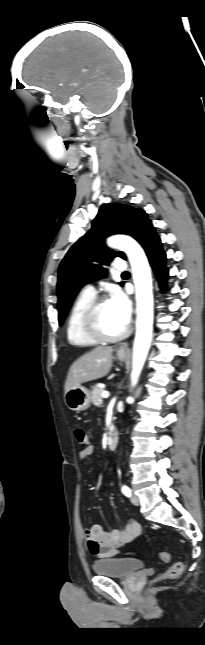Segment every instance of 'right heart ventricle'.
I'll list each match as a JSON object with an SVG mask.
<instances>
[{
	"label": "right heart ventricle",
	"instance_id": "obj_1",
	"mask_svg": "<svg viewBox=\"0 0 205 645\" xmlns=\"http://www.w3.org/2000/svg\"><path fill=\"white\" fill-rule=\"evenodd\" d=\"M93 300V295L83 292L74 300L66 321V337L70 345L86 347L98 343L87 335L83 327V315Z\"/></svg>",
	"mask_w": 205,
	"mask_h": 645
}]
</instances>
